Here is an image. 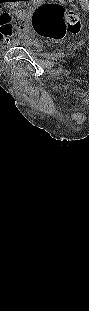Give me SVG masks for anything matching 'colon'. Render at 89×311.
<instances>
[{
    "label": "colon",
    "instance_id": "colon-1",
    "mask_svg": "<svg viewBox=\"0 0 89 311\" xmlns=\"http://www.w3.org/2000/svg\"><path fill=\"white\" fill-rule=\"evenodd\" d=\"M1 21L8 29L23 31V22L14 25L8 14L1 16ZM33 30L41 37L48 39H60L67 31L76 33L81 28V21L78 14L73 10H68L56 3H44L37 7L32 15Z\"/></svg>",
    "mask_w": 89,
    "mask_h": 311
}]
</instances>
